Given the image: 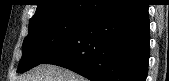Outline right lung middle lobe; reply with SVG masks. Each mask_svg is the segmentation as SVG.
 I'll return each mask as SVG.
<instances>
[{"instance_id":"dd1d6c3e","label":"right lung middle lobe","mask_w":169,"mask_h":81,"mask_svg":"<svg viewBox=\"0 0 169 81\" xmlns=\"http://www.w3.org/2000/svg\"><path fill=\"white\" fill-rule=\"evenodd\" d=\"M87 20L86 17L62 15L29 22L18 71L23 73L41 64L64 46Z\"/></svg>"}]
</instances>
